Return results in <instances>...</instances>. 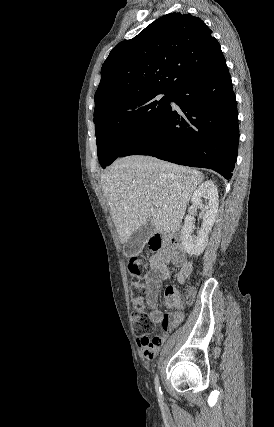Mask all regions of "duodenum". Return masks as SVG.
<instances>
[{
  "label": "duodenum",
  "instance_id": "410a0bca",
  "mask_svg": "<svg viewBox=\"0 0 274 427\" xmlns=\"http://www.w3.org/2000/svg\"><path fill=\"white\" fill-rule=\"evenodd\" d=\"M151 242L156 249H160L164 245L165 241H164V238L159 233H155L151 239Z\"/></svg>",
  "mask_w": 274,
  "mask_h": 427
}]
</instances>
